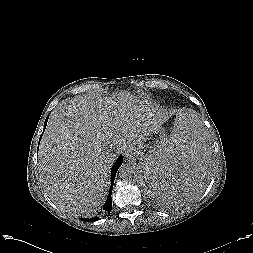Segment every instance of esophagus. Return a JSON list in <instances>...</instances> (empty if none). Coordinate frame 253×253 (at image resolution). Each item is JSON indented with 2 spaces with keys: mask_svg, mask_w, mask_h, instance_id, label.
<instances>
[{
  "mask_svg": "<svg viewBox=\"0 0 253 253\" xmlns=\"http://www.w3.org/2000/svg\"><path fill=\"white\" fill-rule=\"evenodd\" d=\"M125 155L126 156H129V154L132 152V150H133V147H132V145H130V144H128V145H126L125 146Z\"/></svg>",
  "mask_w": 253,
  "mask_h": 253,
  "instance_id": "1",
  "label": "esophagus"
}]
</instances>
